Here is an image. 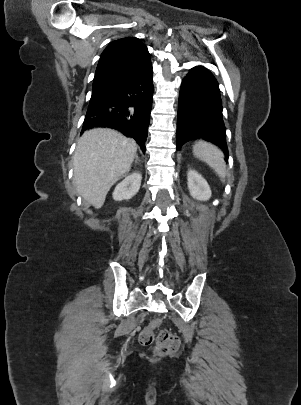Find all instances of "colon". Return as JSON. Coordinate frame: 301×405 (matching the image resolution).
<instances>
[{
	"mask_svg": "<svg viewBox=\"0 0 301 405\" xmlns=\"http://www.w3.org/2000/svg\"><path fill=\"white\" fill-rule=\"evenodd\" d=\"M159 324V320H154L149 326L145 327L139 334V343L143 346L154 344V352L159 356L177 351L180 344L179 338L168 330H161L156 334L155 330Z\"/></svg>",
	"mask_w": 301,
	"mask_h": 405,
	"instance_id": "obj_1",
	"label": "colon"
}]
</instances>
